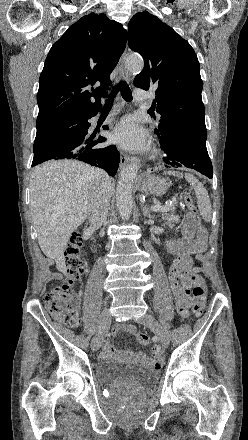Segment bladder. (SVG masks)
Wrapping results in <instances>:
<instances>
[{
	"instance_id": "1",
	"label": "bladder",
	"mask_w": 248,
	"mask_h": 440,
	"mask_svg": "<svg viewBox=\"0 0 248 440\" xmlns=\"http://www.w3.org/2000/svg\"><path fill=\"white\" fill-rule=\"evenodd\" d=\"M97 379L117 391L141 392L155 384L154 369L139 364L101 361L95 367Z\"/></svg>"
}]
</instances>
